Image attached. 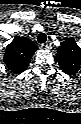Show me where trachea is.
Wrapping results in <instances>:
<instances>
[{"instance_id": "1", "label": "trachea", "mask_w": 81, "mask_h": 124, "mask_svg": "<svg viewBox=\"0 0 81 124\" xmlns=\"http://www.w3.org/2000/svg\"><path fill=\"white\" fill-rule=\"evenodd\" d=\"M47 40V36L45 33H40L37 37L38 43H45Z\"/></svg>"}]
</instances>
